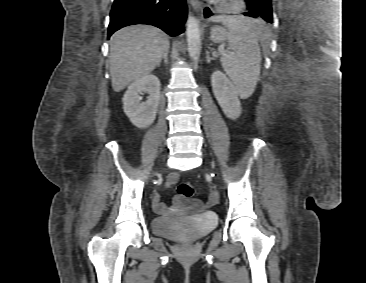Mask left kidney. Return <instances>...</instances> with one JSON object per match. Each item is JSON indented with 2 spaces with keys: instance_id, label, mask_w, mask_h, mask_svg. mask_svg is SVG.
<instances>
[{
  "instance_id": "obj_1",
  "label": "left kidney",
  "mask_w": 366,
  "mask_h": 283,
  "mask_svg": "<svg viewBox=\"0 0 366 283\" xmlns=\"http://www.w3.org/2000/svg\"><path fill=\"white\" fill-rule=\"evenodd\" d=\"M212 90L224 114L231 119H237L241 114V103L238 91L233 83L221 71L211 76Z\"/></svg>"
}]
</instances>
